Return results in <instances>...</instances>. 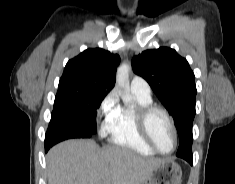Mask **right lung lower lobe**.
<instances>
[{
  "label": "right lung lower lobe",
  "mask_w": 235,
  "mask_h": 184,
  "mask_svg": "<svg viewBox=\"0 0 235 184\" xmlns=\"http://www.w3.org/2000/svg\"><path fill=\"white\" fill-rule=\"evenodd\" d=\"M83 131L82 127L76 123L68 120L63 116H56L52 113L51 121L45 136V151L47 152L53 145H55L59 135L70 132L79 133Z\"/></svg>",
  "instance_id": "obj_1"
}]
</instances>
